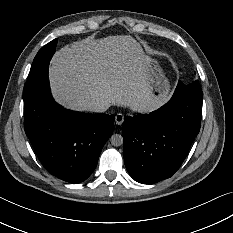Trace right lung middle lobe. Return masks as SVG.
Returning a JSON list of instances; mask_svg holds the SVG:
<instances>
[{
    "label": "right lung middle lobe",
    "instance_id": "obj_1",
    "mask_svg": "<svg viewBox=\"0 0 233 233\" xmlns=\"http://www.w3.org/2000/svg\"><path fill=\"white\" fill-rule=\"evenodd\" d=\"M56 43L57 39L52 40L37 53L24 86V96L28 95L48 78L49 62L55 52Z\"/></svg>",
    "mask_w": 233,
    "mask_h": 233
}]
</instances>
